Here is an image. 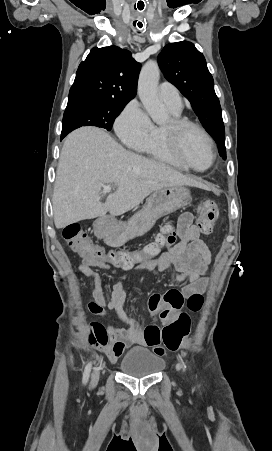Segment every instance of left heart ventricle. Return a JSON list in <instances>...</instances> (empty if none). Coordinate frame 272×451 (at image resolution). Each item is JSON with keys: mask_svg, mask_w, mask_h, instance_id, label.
<instances>
[{"mask_svg": "<svg viewBox=\"0 0 272 451\" xmlns=\"http://www.w3.org/2000/svg\"><path fill=\"white\" fill-rule=\"evenodd\" d=\"M170 121L166 124L168 125ZM183 161L190 168L198 171L205 170L211 162V154L196 131H188L184 135Z\"/></svg>", "mask_w": 272, "mask_h": 451, "instance_id": "obj_1", "label": "left heart ventricle"}]
</instances>
